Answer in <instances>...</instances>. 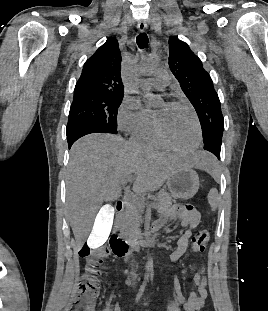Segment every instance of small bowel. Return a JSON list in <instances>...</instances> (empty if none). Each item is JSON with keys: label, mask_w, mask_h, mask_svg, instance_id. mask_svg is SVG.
Returning a JSON list of instances; mask_svg holds the SVG:
<instances>
[{"label": "small bowel", "mask_w": 268, "mask_h": 311, "mask_svg": "<svg viewBox=\"0 0 268 311\" xmlns=\"http://www.w3.org/2000/svg\"><path fill=\"white\" fill-rule=\"evenodd\" d=\"M200 221L199 213L191 206H180L172 208L163 218L154 223V230H161L166 224L180 222L185 231L177 241V246L171 254V260L177 262L187 251L193 237V231ZM127 255L125 259L127 260ZM193 282L196 290L191 292L187 299L183 296L178 280L175 282V293L178 302L185 311H199L205 304L207 298V275L204 266L194 274ZM148 305V298L144 299Z\"/></svg>", "instance_id": "small-bowel-1"}]
</instances>
